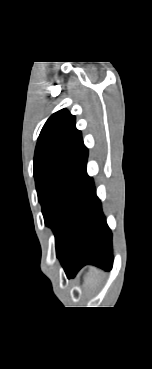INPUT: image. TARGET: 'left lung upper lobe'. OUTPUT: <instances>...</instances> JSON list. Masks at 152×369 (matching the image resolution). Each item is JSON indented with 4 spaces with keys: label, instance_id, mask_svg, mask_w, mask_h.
<instances>
[{
    "label": "left lung upper lobe",
    "instance_id": "left-lung-upper-lobe-1",
    "mask_svg": "<svg viewBox=\"0 0 152 369\" xmlns=\"http://www.w3.org/2000/svg\"><path fill=\"white\" fill-rule=\"evenodd\" d=\"M87 158L75 116L66 109L51 115L37 141L34 177L45 224L55 235L57 255L86 177Z\"/></svg>",
    "mask_w": 152,
    "mask_h": 369
}]
</instances>
